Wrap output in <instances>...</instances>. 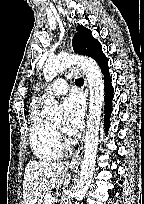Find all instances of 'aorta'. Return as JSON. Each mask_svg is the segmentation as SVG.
<instances>
[{"label": "aorta", "mask_w": 144, "mask_h": 204, "mask_svg": "<svg viewBox=\"0 0 144 204\" xmlns=\"http://www.w3.org/2000/svg\"><path fill=\"white\" fill-rule=\"evenodd\" d=\"M73 64L81 67L89 83L90 102L87 130L84 144V157L81 163L80 178L76 185L74 197L80 201L88 190L93 178L98 142L102 106L104 102V84L98 64L91 58L61 53L46 61L43 75L47 82ZM43 115L52 121L61 119L62 113L54 97L47 96L44 101ZM79 204V203H76Z\"/></svg>", "instance_id": "1"}]
</instances>
